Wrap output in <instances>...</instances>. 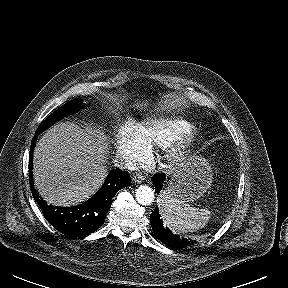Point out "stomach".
I'll list each match as a JSON object with an SVG mask.
<instances>
[{
    "mask_svg": "<svg viewBox=\"0 0 288 288\" xmlns=\"http://www.w3.org/2000/svg\"><path fill=\"white\" fill-rule=\"evenodd\" d=\"M213 173L207 160L192 156L176 168L164 194L183 202L199 199L211 186Z\"/></svg>",
    "mask_w": 288,
    "mask_h": 288,
    "instance_id": "0dacf381",
    "label": "stomach"
}]
</instances>
